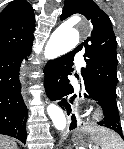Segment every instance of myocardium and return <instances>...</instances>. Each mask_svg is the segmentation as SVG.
I'll use <instances>...</instances> for the list:
<instances>
[{
    "label": "myocardium",
    "instance_id": "myocardium-1",
    "mask_svg": "<svg viewBox=\"0 0 124 149\" xmlns=\"http://www.w3.org/2000/svg\"><path fill=\"white\" fill-rule=\"evenodd\" d=\"M103 118H104L103 109L100 108V107L94 108V109H93V112H92V119H93L94 121L99 122V121L103 120Z\"/></svg>",
    "mask_w": 124,
    "mask_h": 149
}]
</instances>
